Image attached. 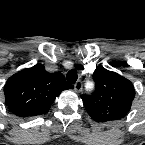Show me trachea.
<instances>
[{
    "label": "trachea",
    "mask_w": 145,
    "mask_h": 145,
    "mask_svg": "<svg viewBox=\"0 0 145 145\" xmlns=\"http://www.w3.org/2000/svg\"><path fill=\"white\" fill-rule=\"evenodd\" d=\"M66 79L70 83H75L77 80V72L75 70H70L66 75Z\"/></svg>",
    "instance_id": "trachea-1"
}]
</instances>
